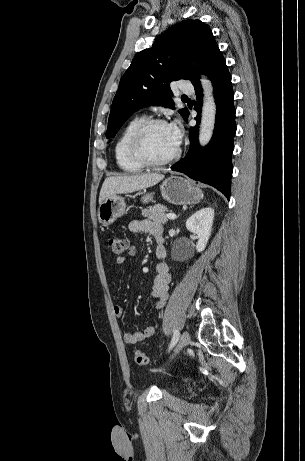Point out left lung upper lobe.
Returning a JSON list of instances; mask_svg holds the SVG:
<instances>
[{"label":"left lung upper lobe","instance_id":"obj_1","mask_svg":"<svg viewBox=\"0 0 305 461\" xmlns=\"http://www.w3.org/2000/svg\"><path fill=\"white\" fill-rule=\"evenodd\" d=\"M220 50L212 31L200 20H184L165 31L151 48L139 52L120 80L108 120L107 138L140 108L157 105L174 108L172 81L199 77L191 62L207 72ZM184 118L186 108L179 110Z\"/></svg>","mask_w":305,"mask_h":461}]
</instances>
